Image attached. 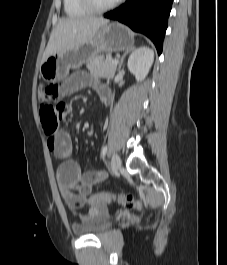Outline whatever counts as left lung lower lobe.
Here are the masks:
<instances>
[{
  "instance_id": "obj_1",
  "label": "left lung lower lobe",
  "mask_w": 227,
  "mask_h": 265,
  "mask_svg": "<svg viewBox=\"0 0 227 265\" xmlns=\"http://www.w3.org/2000/svg\"><path fill=\"white\" fill-rule=\"evenodd\" d=\"M173 0H127L119 8L105 13L104 17L118 20L136 32L149 37L158 54L167 29V21Z\"/></svg>"
}]
</instances>
